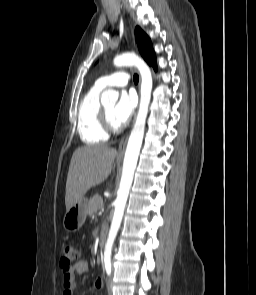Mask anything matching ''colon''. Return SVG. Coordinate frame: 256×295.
Masks as SVG:
<instances>
[{
    "label": "colon",
    "mask_w": 256,
    "mask_h": 295,
    "mask_svg": "<svg viewBox=\"0 0 256 295\" xmlns=\"http://www.w3.org/2000/svg\"><path fill=\"white\" fill-rule=\"evenodd\" d=\"M79 259V251L76 246L70 242L65 241L61 245L60 264L63 269H70Z\"/></svg>",
    "instance_id": "1"
}]
</instances>
